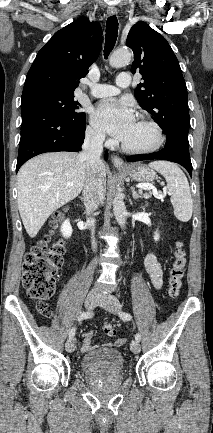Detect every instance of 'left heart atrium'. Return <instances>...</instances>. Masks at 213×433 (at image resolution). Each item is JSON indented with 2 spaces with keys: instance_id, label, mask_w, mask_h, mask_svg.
<instances>
[{
  "instance_id": "39dd6f15",
  "label": "left heart atrium",
  "mask_w": 213,
  "mask_h": 433,
  "mask_svg": "<svg viewBox=\"0 0 213 433\" xmlns=\"http://www.w3.org/2000/svg\"><path fill=\"white\" fill-rule=\"evenodd\" d=\"M95 126L123 141L136 120L130 105L125 101L106 100L92 113Z\"/></svg>"
}]
</instances>
